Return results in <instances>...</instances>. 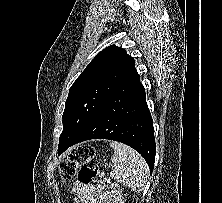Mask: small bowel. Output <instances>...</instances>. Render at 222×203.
<instances>
[{
	"label": "small bowel",
	"instance_id": "small-bowel-1",
	"mask_svg": "<svg viewBox=\"0 0 222 203\" xmlns=\"http://www.w3.org/2000/svg\"><path fill=\"white\" fill-rule=\"evenodd\" d=\"M81 203H112L111 195L103 187L93 184H75Z\"/></svg>",
	"mask_w": 222,
	"mask_h": 203
}]
</instances>
